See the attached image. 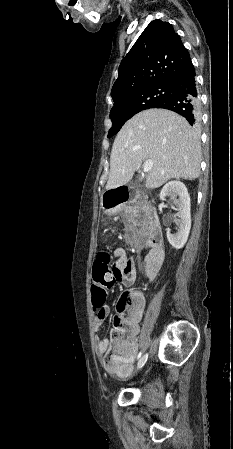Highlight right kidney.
<instances>
[{"label": "right kidney", "instance_id": "1", "mask_svg": "<svg viewBox=\"0 0 233 449\" xmlns=\"http://www.w3.org/2000/svg\"><path fill=\"white\" fill-rule=\"evenodd\" d=\"M167 196H170L178 207L177 216L179 218L176 220L177 232L172 234L168 230L167 239L175 249H181L187 242L191 228L190 196L185 184L177 180L164 185L160 192V199L164 200Z\"/></svg>", "mask_w": 233, "mask_h": 449}]
</instances>
